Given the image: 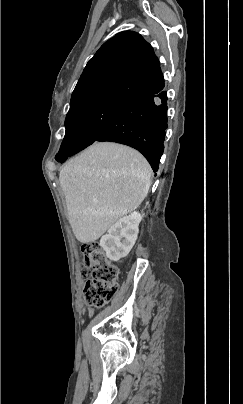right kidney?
<instances>
[{
	"instance_id": "ca27d5eb",
	"label": "right kidney",
	"mask_w": 243,
	"mask_h": 404,
	"mask_svg": "<svg viewBox=\"0 0 243 404\" xmlns=\"http://www.w3.org/2000/svg\"><path fill=\"white\" fill-rule=\"evenodd\" d=\"M142 220L139 212H132L130 216L120 218L114 226H111L105 236L100 240V246L106 252L107 258L112 262H118L120 258H126L132 250L139 234V224Z\"/></svg>"
}]
</instances>
